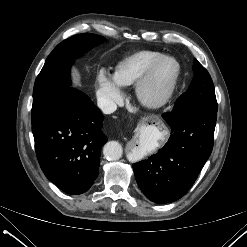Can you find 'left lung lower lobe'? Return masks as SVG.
Segmentation results:
<instances>
[{
    "label": "left lung lower lobe",
    "instance_id": "0a47b994",
    "mask_svg": "<svg viewBox=\"0 0 247 247\" xmlns=\"http://www.w3.org/2000/svg\"><path fill=\"white\" fill-rule=\"evenodd\" d=\"M162 116L171 127L168 142L157 154L133 164L142 192L160 204L184 196L197 179L212 152L217 111L190 102Z\"/></svg>",
    "mask_w": 247,
    "mask_h": 247
}]
</instances>
